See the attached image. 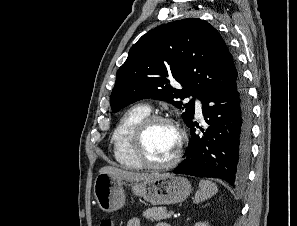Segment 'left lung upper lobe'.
Instances as JSON below:
<instances>
[{"mask_svg":"<svg viewBox=\"0 0 297 226\" xmlns=\"http://www.w3.org/2000/svg\"><path fill=\"white\" fill-rule=\"evenodd\" d=\"M232 54L218 31L196 18L160 25L135 43L117 71L110 97L113 112L143 98L168 101L185 109L188 124L194 116V99L206 89L232 88L240 81ZM179 84L182 86L180 89Z\"/></svg>","mask_w":297,"mask_h":226,"instance_id":"left-lung-upper-lobe-1","label":"left lung upper lobe"}]
</instances>
